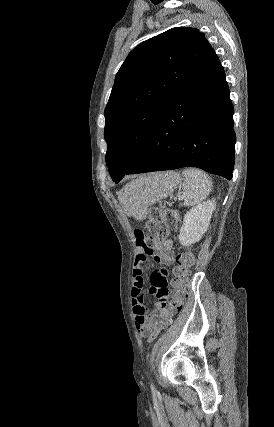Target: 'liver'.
Listing matches in <instances>:
<instances>
[{"mask_svg": "<svg viewBox=\"0 0 274 427\" xmlns=\"http://www.w3.org/2000/svg\"><path fill=\"white\" fill-rule=\"evenodd\" d=\"M120 194H121V192H119V200L121 202V196H120ZM121 204H122V202H121ZM122 206H123V204H122ZM123 208H125V206H123ZM125 210H126V208H125Z\"/></svg>", "mask_w": 274, "mask_h": 427, "instance_id": "obj_1", "label": "liver"}]
</instances>
